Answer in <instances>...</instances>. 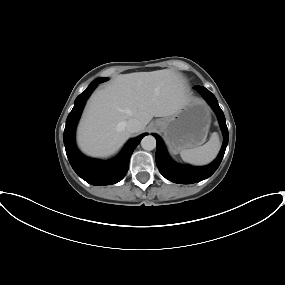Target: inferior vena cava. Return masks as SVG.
Instances as JSON below:
<instances>
[{
  "label": "inferior vena cava",
  "instance_id": "602c4592",
  "mask_svg": "<svg viewBox=\"0 0 285 285\" xmlns=\"http://www.w3.org/2000/svg\"><path fill=\"white\" fill-rule=\"evenodd\" d=\"M141 123L138 119H130L126 123V130L130 133H135L140 131Z\"/></svg>",
  "mask_w": 285,
  "mask_h": 285
}]
</instances>
